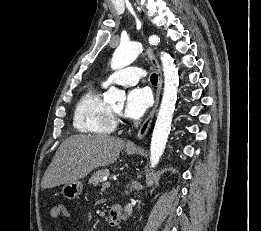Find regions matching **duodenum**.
<instances>
[{
	"instance_id": "duodenum-1",
	"label": "duodenum",
	"mask_w": 261,
	"mask_h": 231,
	"mask_svg": "<svg viewBox=\"0 0 261 231\" xmlns=\"http://www.w3.org/2000/svg\"><path fill=\"white\" fill-rule=\"evenodd\" d=\"M124 208L121 204H113L109 209V221L112 225L120 223L124 219Z\"/></svg>"
}]
</instances>
